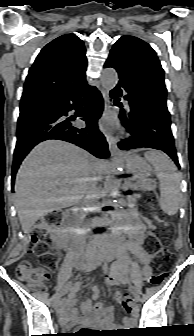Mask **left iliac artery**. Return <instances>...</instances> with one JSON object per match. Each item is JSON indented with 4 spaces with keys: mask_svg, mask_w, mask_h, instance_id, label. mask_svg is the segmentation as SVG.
<instances>
[{
    "mask_svg": "<svg viewBox=\"0 0 194 336\" xmlns=\"http://www.w3.org/2000/svg\"><path fill=\"white\" fill-rule=\"evenodd\" d=\"M129 290H130L131 292H134L132 286L129 287Z\"/></svg>",
    "mask_w": 194,
    "mask_h": 336,
    "instance_id": "obj_1",
    "label": "left iliac artery"
}]
</instances>
